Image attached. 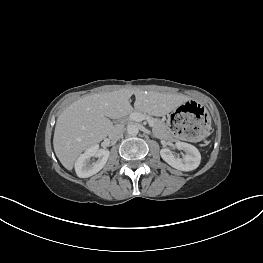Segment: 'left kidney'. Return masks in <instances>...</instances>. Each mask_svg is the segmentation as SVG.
Wrapping results in <instances>:
<instances>
[{"mask_svg": "<svg viewBox=\"0 0 263 263\" xmlns=\"http://www.w3.org/2000/svg\"><path fill=\"white\" fill-rule=\"evenodd\" d=\"M175 146L178 150H183L185 155L178 158L168 148H163L160 155L166 163L181 171H192L199 166L201 155L195 146L180 141H177Z\"/></svg>", "mask_w": 263, "mask_h": 263, "instance_id": "obj_1", "label": "left kidney"}]
</instances>
